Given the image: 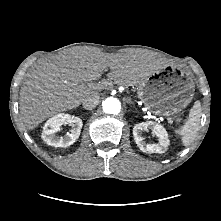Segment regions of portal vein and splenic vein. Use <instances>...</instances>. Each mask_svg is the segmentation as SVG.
I'll use <instances>...</instances> for the list:
<instances>
[{
  "label": "portal vein and splenic vein",
  "mask_w": 221,
  "mask_h": 221,
  "mask_svg": "<svg viewBox=\"0 0 221 221\" xmlns=\"http://www.w3.org/2000/svg\"><path fill=\"white\" fill-rule=\"evenodd\" d=\"M93 84H88L89 87H91ZM147 114L150 116V117H153V115H151V113L147 112ZM170 121V119H168Z\"/></svg>",
  "instance_id": "18ae733b"
}]
</instances>
